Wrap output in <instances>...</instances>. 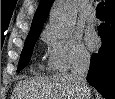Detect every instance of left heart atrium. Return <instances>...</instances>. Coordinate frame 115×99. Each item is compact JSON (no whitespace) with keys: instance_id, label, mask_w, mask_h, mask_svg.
<instances>
[{"instance_id":"obj_1","label":"left heart atrium","mask_w":115,"mask_h":99,"mask_svg":"<svg viewBox=\"0 0 115 99\" xmlns=\"http://www.w3.org/2000/svg\"><path fill=\"white\" fill-rule=\"evenodd\" d=\"M86 42H87L88 46L91 49L96 48L97 44H98V37H97V35L94 32H89L86 35Z\"/></svg>"}]
</instances>
